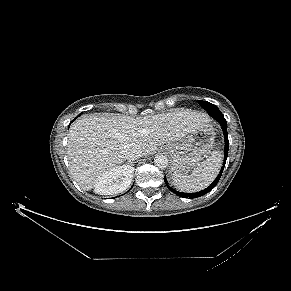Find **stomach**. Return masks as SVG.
Wrapping results in <instances>:
<instances>
[{
	"mask_svg": "<svg viewBox=\"0 0 291 291\" xmlns=\"http://www.w3.org/2000/svg\"><path fill=\"white\" fill-rule=\"evenodd\" d=\"M215 129L209 122L200 125L192 133L165 146V151L172 159L173 176H185L190 169L207 155L213 148Z\"/></svg>",
	"mask_w": 291,
	"mask_h": 291,
	"instance_id": "1",
	"label": "stomach"
}]
</instances>
